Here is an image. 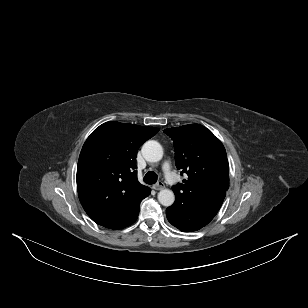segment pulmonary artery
Wrapping results in <instances>:
<instances>
[{
    "instance_id": "obj_1",
    "label": "pulmonary artery",
    "mask_w": 308,
    "mask_h": 308,
    "mask_svg": "<svg viewBox=\"0 0 308 308\" xmlns=\"http://www.w3.org/2000/svg\"><path fill=\"white\" fill-rule=\"evenodd\" d=\"M163 171H164V174H165V178L167 179V181L172 184V185H176L177 184V177L176 175L174 174V172L171 170V167L169 165L168 162H166L164 165H163Z\"/></svg>"
}]
</instances>
